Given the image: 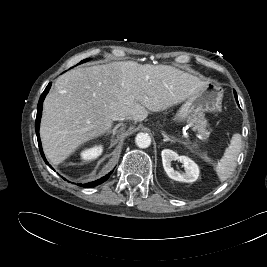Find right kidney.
Listing matches in <instances>:
<instances>
[{
  "instance_id": "right-kidney-1",
  "label": "right kidney",
  "mask_w": 267,
  "mask_h": 267,
  "mask_svg": "<svg viewBox=\"0 0 267 267\" xmlns=\"http://www.w3.org/2000/svg\"><path fill=\"white\" fill-rule=\"evenodd\" d=\"M103 146L102 145H95L89 149H85L81 152V157L84 160H92L97 158L102 154Z\"/></svg>"
}]
</instances>
